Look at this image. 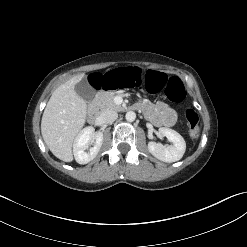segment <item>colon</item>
<instances>
[{"label": "colon", "instance_id": "5ec220e1", "mask_svg": "<svg viewBox=\"0 0 247 247\" xmlns=\"http://www.w3.org/2000/svg\"><path fill=\"white\" fill-rule=\"evenodd\" d=\"M88 84L93 89H111L125 86H145L148 92L157 93L164 89L166 97L172 102H181L186 95L181 80L177 77H167L165 74L150 70L141 65L128 64L107 70H93L88 75ZM185 118L189 133L196 137L200 132V119L197 112L187 109Z\"/></svg>", "mask_w": 247, "mask_h": 247}]
</instances>
